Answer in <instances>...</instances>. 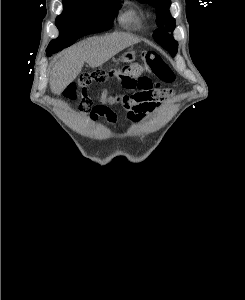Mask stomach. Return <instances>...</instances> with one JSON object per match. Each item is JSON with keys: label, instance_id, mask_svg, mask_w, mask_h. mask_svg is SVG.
I'll return each mask as SVG.
<instances>
[{"label": "stomach", "instance_id": "obj_1", "mask_svg": "<svg viewBox=\"0 0 245 300\" xmlns=\"http://www.w3.org/2000/svg\"><path fill=\"white\" fill-rule=\"evenodd\" d=\"M135 58H136L135 52L132 50H129L120 56L119 61L131 62V61L135 60Z\"/></svg>", "mask_w": 245, "mask_h": 300}]
</instances>
